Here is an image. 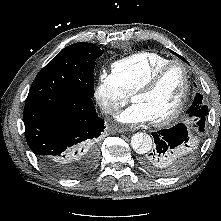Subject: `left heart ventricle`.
<instances>
[{
    "mask_svg": "<svg viewBox=\"0 0 221 221\" xmlns=\"http://www.w3.org/2000/svg\"><path fill=\"white\" fill-rule=\"evenodd\" d=\"M184 87L183 70L179 65H174L152 91L135 96L133 102L141 104L152 120L160 119L174 110L183 95Z\"/></svg>",
    "mask_w": 221,
    "mask_h": 221,
    "instance_id": "b2bd125f",
    "label": "left heart ventricle"
}]
</instances>
